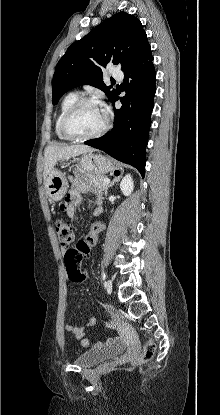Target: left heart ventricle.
<instances>
[{"instance_id": "b2bd125f", "label": "left heart ventricle", "mask_w": 220, "mask_h": 415, "mask_svg": "<svg viewBox=\"0 0 220 415\" xmlns=\"http://www.w3.org/2000/svg\"><path fill=\"white\" fill-rule=\"evenodd\" d=\"M104 121L105 114L99 106L86 105L71 118L69 128L76 135L87 136L99 131Z\"/></svg>"}]
</instances>
